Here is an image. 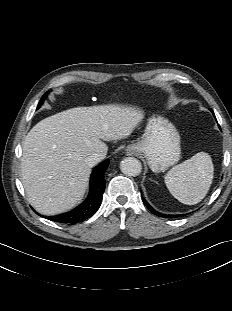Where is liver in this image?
I'll return each instance as SVG.
<instances>
[{"mask_svg":"<svg viewBox=\"0 0 232 311\" xmlns=\"http://www.w3.org/2000/svg\"><path fill=\"white\" fill-rule=\"evenodd\" d=\"M141 111L101 105L65 110L38 122L23 142L22 183L30 204L44 215L65 212L85 194L91 167L86 158L106 155L103 141L127 138Z\"/></svg>","mask_w":232,"mask_h":311,"instance_id":"6515ba94","label":"liver"}]
</instances>
